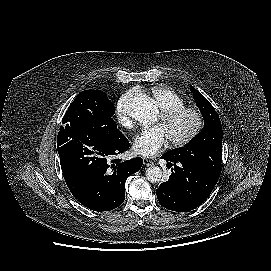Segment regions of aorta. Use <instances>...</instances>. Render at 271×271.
<instances>
[{
    "instance_id": "1",
    "label": "aorta",
    "mask_w": 271,
    "mask_h": 271,
    "mask_svg": "<svg viewBox=\"0 0 271 271\" xmlns=\"http://www.w3.org/2000/svg\"><path fill=\"white\" fill-rule=\"evenodd\" d=\"M157 104L147 95L136 97L131 104L130 114L132 118L143 125H151L157 116ZM146 178L151 183H157L162 178V170L158 166H151L146 169Z\"/></svg>"
}]
</instances>
